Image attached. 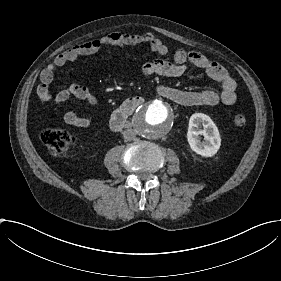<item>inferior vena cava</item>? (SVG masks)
Segmentation results:
<instances>
[{
	"label": "inferior vena cava",
	"mask_w": 281,
	"mask_h": 281,
	"mask_svg": "<svg viewBox=\"0 0 281 281\" xmlns=\"http://www.w3.org/2000/svg\"><path fill=\"white\" fill-rule=\"evenodd\" d=\"M124 139L131 141L136 137V133L133 129H127L123 132Z\"/></svg>",
	"instance_id": "inferior-vena-cava-1"
}]
</instances>
